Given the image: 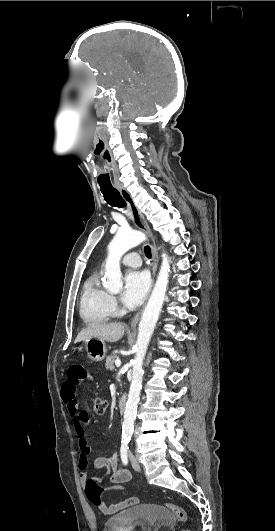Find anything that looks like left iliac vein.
<instances>
[{"mask_svg": "<svg viewBox=\"0 0 275 531\" xmlns=\"http://www.w3.org/2000/svg\"><path fill=\"white\" fill-rule=\"evenodd\" d=\"M129 459H130L132 467L135 470H140V464H139L138 460L136 459V457L132 453H129Z\"/></svg>", "mask_w": 275, "mask_h": 531, "instance_id": "4c4485c4", "label": "left iliac vein"}]
</instances>
